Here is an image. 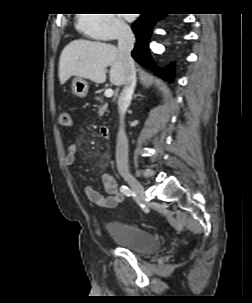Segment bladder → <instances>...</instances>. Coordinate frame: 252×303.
<instances>
[{"label":"bladder","instance_id":"bladder-1","mask_svg":"<svg viewBox=\"0 0 252 303\" xmlns=\"http://www.w3.org/2000/svg\"><path fill=\"white\" fill-rule=\"evenodd\" d=\"M110 236L121 246L141 254L157 252L161 243L157 236L145 228L111 222L107 226Z\"/></svg>","mask_w":252,"mask_h":303}]
</instances>
